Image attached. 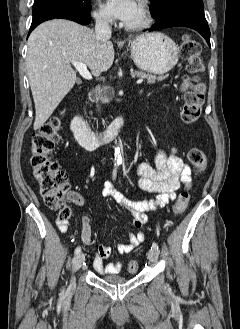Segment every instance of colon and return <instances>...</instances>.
Wrapping results in <instances>:
<instances>
[{"label": "colon", "instance_id": "obj_1", "mask_svg": "<svg viewBox=\"0 0 240 329\" xmlns=\"http://www.w3.org/2000/svg\"><path fill=\"white\" fill-rule=\"evenodd\" d=\"M181 55L187 62V70L193 75L191 80L182 86L184 104L181 110L182 121L186 124L195 123L201 115L204 101L205 85L197 75L202 71L201 45L192 37H185L181 43ZM62 112L51 116L37 131L31 140V167L33 176L39 184L45 205L59 213L62 221L72 217V210L68 205L70 196V182L65 170L51 159V153L59 142ZM188 158L192 166L200 171L207 164V157L200 148H191ZM190 200L189 188L182 191L172 206L175 215L182 214L188 207ZM138 263L134 260L128 264V271L136 273Z\"/></svg>", "mask_w": 240, "mask_h": 329}]
</instances>
